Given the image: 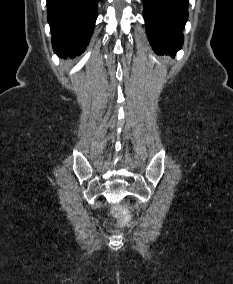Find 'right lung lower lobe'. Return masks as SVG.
<instances>
[{
	"label": "right lung lower lobe",
	"mask_w": 233,
	"mask_h": 284,
	"mask_svg": "<svg viewBox=\"0 0 233 284\" xmlns=\"http://www.w3.org/2000/svg\"><path fill=\"white\" fill-rule=\"evenodd\" d=\"M97 1L47 0L52 46L58 55L75 56L84 52L97 18Z\"/></svg>",
	"instance_id": "1"
}]
</instances>
